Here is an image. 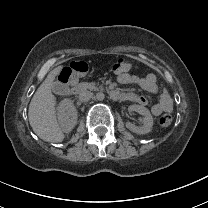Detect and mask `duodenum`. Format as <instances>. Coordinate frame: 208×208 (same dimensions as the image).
<instances>
[{"mask_svg": "<svg viewBox=\"0 0 208 208\" xmlns=\"http://www.w3.org/2000/svg\"><path fill=\"white\" fill-rule=\"evenodd\" d=\"M86 88V86L84 84H78L75 85L72 89H71V93L73 95H77L79 93H81L82 91H84ZM110 96L117 101H122V100H126L127 99V95L118 91V90H111L109 92Z\"/></svg>", "mask_w": 208, "mask_h": 208, "instance_id": "1", "label": "duodenum"}]
</instances>
